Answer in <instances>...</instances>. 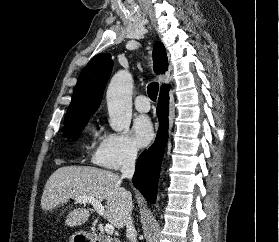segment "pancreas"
<instances>
[{"label":"pancreas","instance_id":"cf45deb5","mask_svg":"<svg viewBox=\"0 0 279 242\" xmlns=\"http://www.w3.org/2000/svg\"><path fill=\"white\" fill-rule=\"evenodd\" d=\"M103 242H119L117 238L105 237Z\"/></svg>","mask_w":279,"mask_h":242}]
</instances>
